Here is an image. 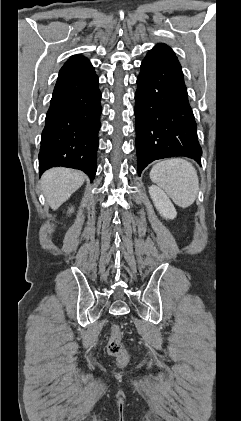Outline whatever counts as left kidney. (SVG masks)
<instances>
[{
  "label": "left kidney",
  "mask_w": 241,
  "mask_h": 421,
  "mask_svg": "<svg viewBox=\"0 0 241 421\" xmlns=\"http://www.w3.org/2000/svg\"><path fill=\"white\" fill-rule=\"evenodd\" d=\"M149 194L156 209L162 217L166 219H174L176 217V209L163 190L155 185H152L149 187Z\"/></svg>",
  "instance_id": "5707ae66"
}]
</instances>
